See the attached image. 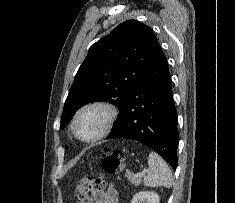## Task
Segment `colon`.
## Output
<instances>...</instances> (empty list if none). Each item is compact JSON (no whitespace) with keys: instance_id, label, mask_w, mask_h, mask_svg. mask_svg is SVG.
<instances>
[{"instance_id":"5ec220e1","label":"colon","mask_w":235,"mask_h":203,"mask_svg":"<svg viewBox=\"0 0 235 203\" xmlns=\"http://www.w3.org/2000/svg\"><path fill=\"white\" fill-rule=\"evenodd\" d=\"M125 155L120 150L107 149L103 155V169L106 173L119 172L124 167ZM104 194L103 177L85 176L78 180L75 196L79 200H93Z\"/></svg>"}]
</instances>
